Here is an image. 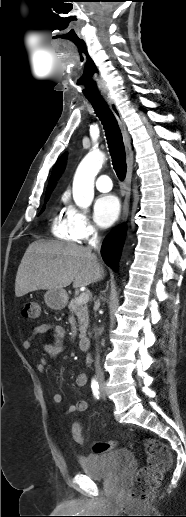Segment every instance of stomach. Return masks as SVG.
<instances>
[{
    "label": "stomach",
    "instance_id": "0dacf381",
    "mask_svg": "<svg viewBox=\"0 0 186 517\" xmlns=\"http://www.w3.org/2000/svg\"><path fill=\"white\" fill-rule=\"evenodd\" d=\"M44 300L48 307L61 310L67 304L68 295L64 289H50L45 293Z\"/></svg>",
    "mask_w": 186,
    "mask_h": 517
}]
</instances>
